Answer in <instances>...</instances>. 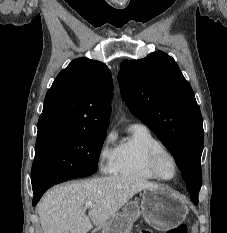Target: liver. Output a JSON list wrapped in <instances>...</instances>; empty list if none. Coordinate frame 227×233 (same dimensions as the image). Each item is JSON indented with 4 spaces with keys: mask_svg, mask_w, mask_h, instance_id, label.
Wrapping results in <instances>:
<instances>
[{
    "mask_svg": "<svg viewBox=\"0 0 227 233\" xmlns=\"http://www.w3.org/2000/svg\"><path fill=\"white\" fill-rule=\"evenodd\" d=\"M157 184L127 176L94 178L58 186L42 198L38 214L43 233H87L99 228L141 190ZM94 203L88 215L83 208Z\"/></svg>",
    "mask_w": 227,
    "mask_h": 233,
    "instance_id": "obj_1",
    "label": "liver"
}]
</instances>
